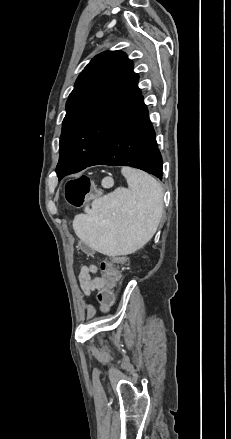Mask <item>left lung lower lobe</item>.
Masks as SVG:
<instances>
[{"instance_id":"0a47b994","label":"left lung lower lobe","mask_w":231,"mask_h":439,"mask_svg":"<svg viewBox=\"0 0 231 439\" xmlns=\"http://www.w3.org/2000/svg\"><path fill=\"white\" fill-rule=\"evenodd\" d=\"M94 165L131 166L162 178V157L142 94L86 167Z\"/></svg>"}]
</instances>
